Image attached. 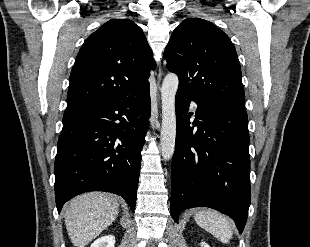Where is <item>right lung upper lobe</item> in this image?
<instances>
[{
	"instance_id": "cb5924a9",
	"label": "right lung upper lobe",
	"mask_w": 310,
	"mask_h": 247,
	"mask_svg": "<svg viewBox=\"0 0 310 247\" xmlns=\"http://www.w3.org/2000/svg\"><path fill=\"white\" fill-rule=\"evenodd\" d=\"M154 68L142 29L129 19H111L80 48L70 74L67 107L140 93L149 88Z\"/></svg>"
}]
</instances>
